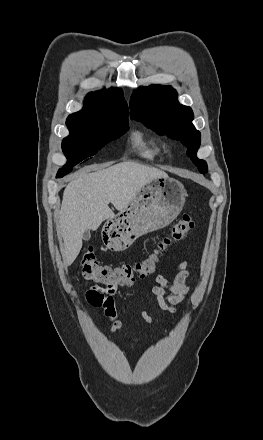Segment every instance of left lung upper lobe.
I'll return each instance as SVG.
<instances>
[{
  "mask_svg": "<svg viewBox=\"0 0 263 440\" xmlns=\"http://www.w3.org/2000/svg\"><path fill=\"white\" fill-rule=\"evenodd\" d=\"M130 116L158 134L180 140L199 171L207 172L206 162L196 157L200 132L192 124L193 112L190 107L179 104L177 92L171 86L151 85L137 89L131 96Z\"/></svg>",
  "mask_w": 263,
  "mask_h": 440,
  "instance_id": "left-lung-upper-lobe-1",
  "label": "left lung upper lobe"
}]
</instances>
